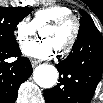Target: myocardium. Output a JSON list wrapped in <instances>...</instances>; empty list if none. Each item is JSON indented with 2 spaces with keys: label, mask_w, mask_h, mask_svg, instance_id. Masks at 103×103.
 Masks as SVG:
<instances>
[{
  "label": "myocardium",
  "mask_w": 103,
  "mask_h": 103,
  "mask_svg": "<svg viewBox=\"0 0 103 103\" xmlns=\"http://www.w3.org/2000/svg\"><path fill=\"white\" fill-rule=\"evenodd\" d=\"M67 24H72L73 30L68 42L63 47L58 49V52L61 54H66L70 52L78 39L79 32H80V22L78 18L74 16L73 14L64 15L49 22L48 24L44 26V28H47V27L59 28Z\"/></svg>",
  "instance_id": "1"
}]
</instances>
